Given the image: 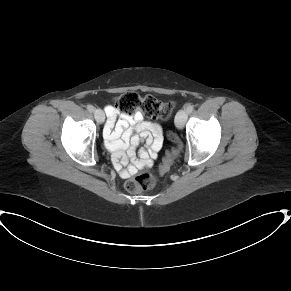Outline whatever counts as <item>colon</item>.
Instances as JSON below:
<instances>
[{"mask_svg":"<svg viewBox=\"0 0 291 291\" xmlns=\"http://www.w3.org/2000/svg\"><path fill=\"white\" fill-rule=\"evenodd\" d=\"M122 112L130 113L138 111L149 118L165 120L168 119L174 110L171 102H161L152 95L140 96L135 92H126L119 96L114 105ZM170 138H174L173 133H169ZM166 165L162 164L160 171L164 172ZM157 181L153 173L149 171L140 172L136 177L128 180L125 184L127 191L139 194L153 189Z\"/></svg>","mask_w":291,"mask_h":291,"instance_id":"obj_1","label":"colon"}]
</instances>
